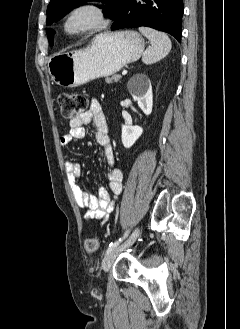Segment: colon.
<instances>
[{
	"label": "colon",
	"instance_id": "colon-1",
	"mask_svg": "<svg viewBox=\"0 0 240 329\" xmlns=\"http://www.w3.org/2000/svg\"><path fill=\"white\" fill-rule=\"evenodd\" d=\"M58 105L61 109L63 118L73 120L79 113L86 109L88 101L83 95L64 91L58 95ZM84 244L85 249L89 253H95L99 247L98 240L95 236L87 237Z\"/></svg>",
	"mask_w": 240,
	"mask_h": 329
}]
</instances>
